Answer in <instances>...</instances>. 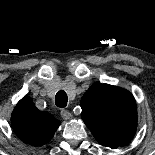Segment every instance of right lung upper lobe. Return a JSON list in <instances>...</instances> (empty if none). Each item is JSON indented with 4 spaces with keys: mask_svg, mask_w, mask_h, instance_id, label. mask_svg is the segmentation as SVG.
Returning a JSON list of instances; mask_svg holds the SVG:
<instances>
[{
    "mask_svg": "<svg viewBox=\"0 0 155 155\" xmlns=\"http://www.w3.org/2000/svg\"><path fill=\"white\" fill-rule=\"evenodd\" d=\"M60 124L53 115L39 111L28 96L18 102L11 114V125L17 137L33 146L48 143Z\"/></svg>",
    "mask_w": 155,
    "mask_h": 155,
    "instance_id": "right-lung-upper-lobe-1",
    "label": "right lung upper lobe"
}]
</instances>
